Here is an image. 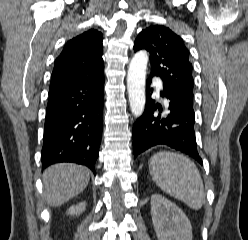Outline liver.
Segmentation results:
<instances>
[{"instance_id": "1", "label": "liver", "mask_w": 248, "mask_h": 240, "mask_svg": "<svg viewBox=\"0 0 248 240\" xmlns=\"http://www.w3.org/2000/svg\"><path fill=\"white\" fill-rule=\"evenodd\" d=\"M42 179L48 205L57 207L66 203L87 187L90 173L83 166L60 163L47 168Z\"/></svg>"}]
</instances>
